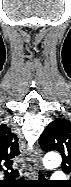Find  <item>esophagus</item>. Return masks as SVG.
Instances as JSON below:
<instances>
[{
    "label": "esophagus",
    "mask_w": 71,
    "mask_h": 187,
    "mask_svg": "<svg viewBox=\"0 0 71 187\" xmlns=\"http://www.w3.org/2000/svg\"><path fill=\"white\" fill-rule=\"evenodd\" d=\"M42 152L39 148H36L31 157V162H32V168H33V176H36V171L42 170Z\"/></svg>",
    "instance_id": "esophagus-1"
}]
</instances>
